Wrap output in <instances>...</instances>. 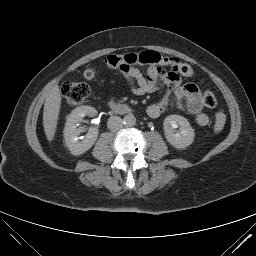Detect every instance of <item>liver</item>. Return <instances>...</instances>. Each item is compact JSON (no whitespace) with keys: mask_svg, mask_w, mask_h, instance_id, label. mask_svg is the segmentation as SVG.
<instances>
[{"mask_svg":"<svg viewBox=\"0 0 256 256\" xmlns=\"http://www.w3.org/2000/svg\"><path fill=\"white\" fill-rule=\"evenodd\" d=\"M60 107L61 94L59 86L55 85L46 97L43 110V127L49 142L53 141L55 137Z\"/></svg>","mask_w":256,"mask_h":256,"instance_id":"1","label":"liver"}]
</instances>
